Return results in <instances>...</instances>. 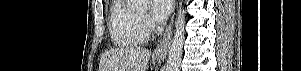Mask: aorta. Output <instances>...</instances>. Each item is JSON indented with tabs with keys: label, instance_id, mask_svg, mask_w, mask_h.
<instances>
[{
	"label": "aorta",
	"instance_id": "obj_1",
	"mask_svg": "<svg viewBox=\"0 0 301 71\" xmlns=\"http://www.w3.org/2000/svg\"><path fill=\"white\" fill-rule=\"evenodd\" d=\"M148 0H131L133 6H146ZM185 36V12L182 2L179 3L178 16L175 22V32L169 49L166 71H180L182 51Z\"/></svg>",
	"mask_w": 301,
	"mask_h": 71
}]
</instances>
